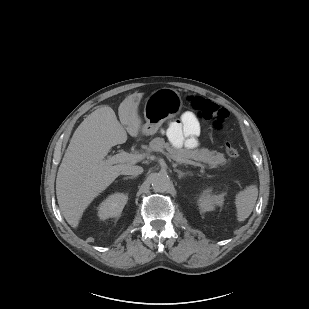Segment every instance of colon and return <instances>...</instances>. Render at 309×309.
Segmentation results:
<instances>
[{
    "label": "colon",
    "instance_id": "obj_1",
    "mask_svg": "<svg viewBox=\"0 0 309 309\" xmlns=\"http://www.w3.org/2000/svg\"><path fill=\"white\" fill-rule=\"evenodd\" d=\"M188 103L198 118L211 121L217 129H221L224 126L229 116L227 109L200 96L189 97ZM225 150L231 158H236L240 155V149L232 142L225 144Z\"/></svg>",
    "mask_w": 309,
    "mask_h": 309
}]
</instances>
